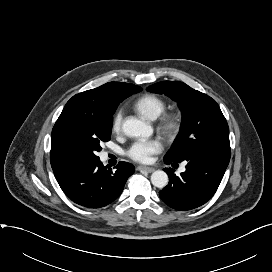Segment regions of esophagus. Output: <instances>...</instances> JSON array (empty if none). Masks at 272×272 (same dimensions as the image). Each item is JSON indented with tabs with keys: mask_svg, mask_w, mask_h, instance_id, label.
I'll return each instance as SVG.
<instances>
[{
	"mask_svg": "<svg viewBox=\"0 0 272 272\" xmlns=\"http://www.w3.org/2000/svg\"><path fill=\"white\" fill-rule=\"evenodd\" d=\"M137 170H139V171H146V172H148V173H151V172L155 171L154 168H152V167H147V166H138V167H137Z\"/></svg>",
	"mask_w": 272,
	"mask_h": 272,
	"instance_id": "34e87169",
	"label": "esophagus"
}]
</instances>
